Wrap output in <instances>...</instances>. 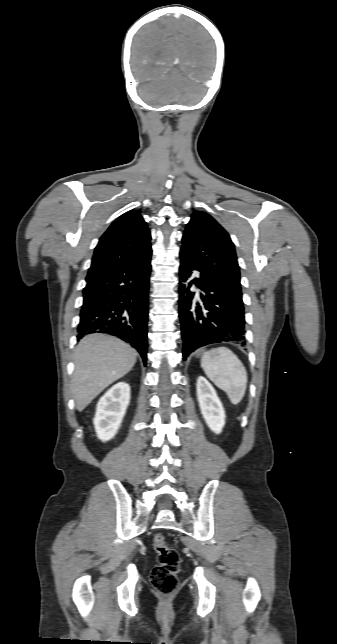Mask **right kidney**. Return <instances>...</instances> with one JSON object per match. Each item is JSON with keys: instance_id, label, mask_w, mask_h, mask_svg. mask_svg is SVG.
Listing matches in <instances>:
<instances>
[{"instance_id": "1", "label": "right kidney", "mask_w": 337, "mask_h": 644, "mask_svg": "<svg viewBox=\"0 0 337 644\" xmlns=\"http://www.w3.org/2000/svg\"><path fill=\"white\" fill-rule=\"evenodd\" d=\"M130 402V386L120 382L111 387L99 400L93 419L97 437L112 439L117 433Z\"/></svg>"}]
</instances>
